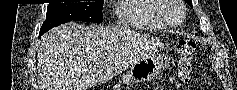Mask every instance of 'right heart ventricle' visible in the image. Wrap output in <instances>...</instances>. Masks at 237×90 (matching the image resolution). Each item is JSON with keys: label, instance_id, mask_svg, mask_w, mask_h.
Returning <instances> with one entry per match:
<instances>
[{"label": "right heart ventricle", "instance_id": "obj_1", "mask_svg": "<svg viewBox=\"0 0 237 90\" xmlns=\"http://www.w3.org/2000/svg\"><path fill=\"white\" fill-rule=\"evenodd\" d=\"M120 7H114L118 19L113 20L118 28L166 29L158 20L151 16L166 14L170 2L161 0H121ZM131 63V62H129Z\"/></svg>", "mask_w": 237, "mask_h": 90}]
</instances>
